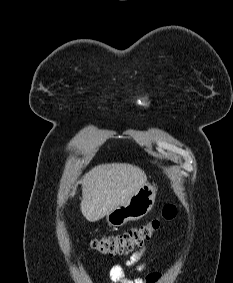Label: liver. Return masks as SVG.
<instances>
[{
  "label": "liver",
  "instance_id": "liver-1",
  "mask_svg": "<svg viewBox=\"0 0 233 283\" xmlns=\"http://www.w3.org/2000/svg\"><path fill=\"white\" fill-rule=\"evenodd\" d=\"M146 182L144 171L131 164L110 163L92 168L80 181L82 215L90 222L102 219L123 205ZM71 195H75V189Z\"/></svg>",
  "mask_w": 233,
  "mask_h": 283
}]
</instances>
